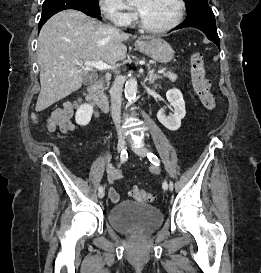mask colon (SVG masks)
<instances>
[{
    "mask_svg": "<svg viewBox=\"0 0 261 273\" xmlns=\"http://www.w3.org/2000/svg\"><path fill=\"white\" fill-rule=\"evenodd\" d=\"M190 64L194 92L199 97L202 105L213 111L216 107V100L210 90V81L206 77L203 54L200 52L193 53ZM131 194L136 201L141 203H149L154 199L149 191L140 188L132 189Z\"/></svg>",
    "mask_w": 261,
    "mask_h": 273,
    "instance_id": "1",
    "label": "colon"
}]
</instances>
